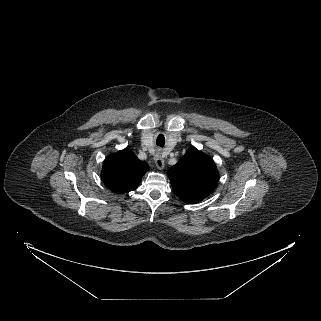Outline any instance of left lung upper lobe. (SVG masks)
Wrapping results in <instances>:
<instances>
[{"mask_svg":"<svg viewBox=\"0 0 321 321\" xmlns=\"http://www.w3.org/2000/svg\"><path fill=\"white\" fill-rule=\"evenodd\" d=\"M168 176L175 194L189 204H196L209 196L218 183L214 161L195 147L170 167Z\"/></svg>","mask_w":321,"mask_h":321,"instance_id":"obj_1","label":"left lung upper lobe"}]
</instances>
